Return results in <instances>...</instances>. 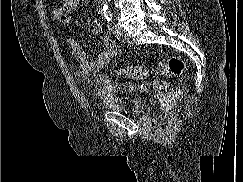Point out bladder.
<instances>
[{"instance_id":"31cf9c89","label":"bladder","mask_w":243,"mask_h":182,"mask_svg":"<svg viewBox=\"0 0 243 182\" xmlns=\"http://www.w3.org/2000/svg\"><path fill=\"white\" fill-rule=\"evenodd\" d=\"M101 107L106 111L138 115L144 111L146 102L141 95L133 92L106 97L101 101Z\"/></svg>"}]
</instances>
